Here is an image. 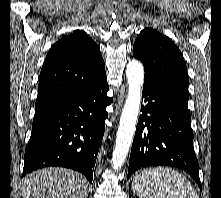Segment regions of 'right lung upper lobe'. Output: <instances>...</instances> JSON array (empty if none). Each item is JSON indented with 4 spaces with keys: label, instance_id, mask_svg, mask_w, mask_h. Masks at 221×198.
<instances>
[{
    "label": "right lung upper lobe",
    "instance_id": "1",
    "mask_svg": "<svg viewBox=\"0 0 221 198\" xmlns=\"http://www.w3.org/2000/svg\"><path fill=\"white\" fill-rule=\"evenodd\" d=\"M106 76L99 47L82 30L56 42L41 69L35 114L85 90Z\"/></svg>",
    "mask_w": 221,
    "mask_h": 198
}]
</instances>
